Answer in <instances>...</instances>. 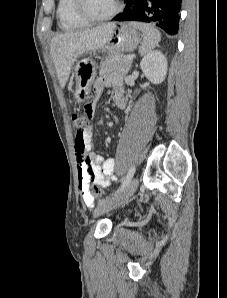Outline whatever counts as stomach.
Masks as SVG:
<instances>
[{
	"label": "stomach",
	"mask_w": 227,
	"mask_h": 298,
	"mask_svg": "<svg viewBox=\"0 0 227 298\" xmlns=\"http://www.w3.org/2000/svg\"><path fill=\"white\" fill-rule=\"evenodd\" d=\"M141 37L139 30L131 23H120L115 25L108 41L97 50L111 55L132 52L137 48ZM96 69V63L92 57L80 59L73 68L72 77L76 81L73 96L77 103H84L90 98L91 85L96 76Z\"/></svg>",
	"instance_id": "stomach-1"
}]
</instances>
